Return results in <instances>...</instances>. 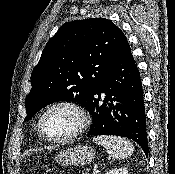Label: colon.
<instances>
[{
  "instance_id": "obj_1",
  "label": "colon",
  "mask_w": 175,
  "mask_h": 174,
  "mask_svg": "<svg viewBox=\"0 0 175 174\" xmlns=\"http://www.w3.org/2000/svg\"><path fill=\"white\" fill-rule=\"evenodd\" d=\"M28 174H34L32 171H30Z\"/></svg>"
}]
</instances>
